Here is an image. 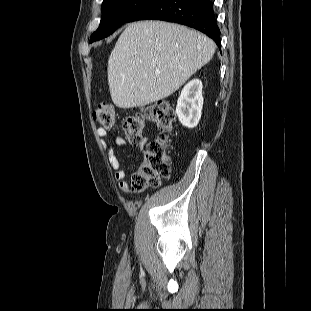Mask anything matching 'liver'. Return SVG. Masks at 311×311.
Instances as JSON below:
<instances>
[{"mask_svg": "<svg viewBox=\"0 0 311 311\" xmlns=\"http://www.w3.org/2000/svg\"><path fill=\"white\" fill-rule=\"evenodd\" d=\"M215 43L185 26L163 21L129 24L108 60V84L119 108L151 104L173 94L215 53Z\"/></svg>", "mask_w": 311, "mask_h": 311, "instance_id": "liver-1", "label": "liver"}]
</instances>
